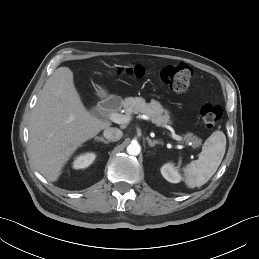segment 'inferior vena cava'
<instances>
[{"instance_id": "602c4592", "label": "inferior vena cava", "mask_w": 259, "mask_h": 259, "mask_svg": "<svg viewBox=\"0 0 259 259\" xmlns=\"http://www.w3.org/2000/svg\"><path fill=\"white\" fill-rule=\"evenodd\" d=\"M103 135L109 141H118L121 139L123 133L118 128H107L104 130Z\"/></svg>"}]
</instances>
